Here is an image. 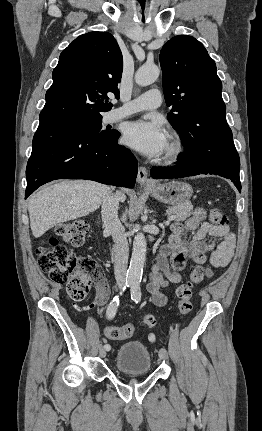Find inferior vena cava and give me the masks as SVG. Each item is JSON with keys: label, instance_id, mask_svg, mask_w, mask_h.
Returning a JSON list of instances; mask_svg holds the SVG:
<instances>
[{"label": "inferior vena cava", "instance_id": "1", "mask_svg": "<svg viewBox=\"0 0 262 431\" xmlns=\"http://www.w3.org/2000/svg\"><path fill=\"white\" fill-rule=\"evenodd\" d=\"M119 196L111 192L102 202V221L105 229L112 234L115 243L114 274L117 285L125 284L129 247L125 230L118 218Z\"/></svg>", "mask_w": 262, "mask_h": 431}]
</instances>
